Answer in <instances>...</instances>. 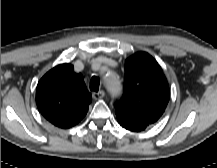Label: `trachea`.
<instances>
[{
    "label": "trachea",
    "instance_id": "1",
    "mask_svg": "<svg viewBox=\"0 0 217 168\" xmlns=\"http://www.w3.org/2000/svg\"><path fill=\"white\" fill-rule=\"evenodd\" d=\"M90 90L97 92L99 90V79L93 76L90 81Z\"/></svg>",
    "mask_w": 217,
    "mask_h": 168
}]
</instances>
